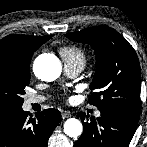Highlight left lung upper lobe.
Instances as JSON below:
<instances>
[{
  "label": "left lung upper lobe",
  "instance_id": "obj_1",
  "mask_svg": "<svg viewBox=\"0 0 147 147\" xmlns=\"http://www.w3.org/2000/svg\"><path fill=\"white\" fill-rule=\"evenodd\" d=\"M65 36L90 44L96 54V72L89 103L138 123L141 111V71L133 47L114 29L96 26Z\"/></svg>",
  "mask_w": 147,
  "mask_h": 147
}]
</instances>
